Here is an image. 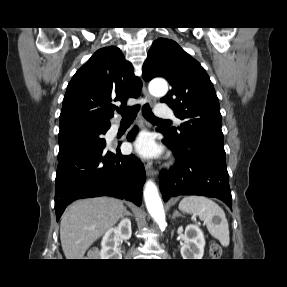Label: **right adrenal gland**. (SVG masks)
I'll list each match as a JSON object with an SVG mask.
<instances>
[{
  "instance_id": "right-adrenal-gland-1",
  "label": "right adrenal gland",
  "mask_w": 287,
  "mask_h": 287,
  "mask_svg": "<svg viewBox=\"0 0 287 287\" xmlns=\"http://www.w3.org/2000/svg\"><path fill=\"white\" fill-rule=\"evenodd\" d=\"M124 215H125V216H131V213H130L129 211H127L126 208H125Z\"/></svg>"
}]
</instances>
